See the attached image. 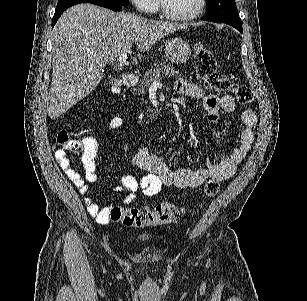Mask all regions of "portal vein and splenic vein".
<instances>
[{"label":"portal vein and splenic vein","instance_id":"1","mask_svg":"<svg viewBox=\"0 0 307 301\" xmlns=\"http://www.w3.org/2000/svg\"><path fill=\"white\" fill-rule=\"evenodd\" d=\"M127 52H122V54H119V64H126L127 62ZM160 82L159 80H154L150 86H159Z\"/></svg>","mask_w":307,"mask_h":301}]
</instances>
